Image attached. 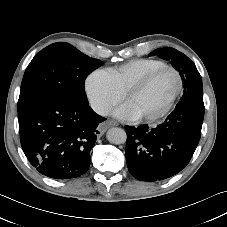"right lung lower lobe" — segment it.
Instances as JSON below:
<instances>
[{
	"label": "right lung lower lobe",
	"mask_w": 227,
	"mask_h": 227,
	"mask_svg": "<svg viewBox=\"0 0 227 227\" xmlns=\"http://www.w3.org/2000/svg\"><path fill=\"white\" fill-rule=\"evenodd\" d=\"M22 149L37 170L55 179L83 175L90 166L96 129L105 120L89 105L46 98L18 112Z\"/></svg>",
	"instance_id": "obj_1"
}]
</instances>
